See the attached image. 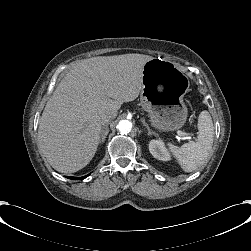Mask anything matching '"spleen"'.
I'll return each mask as SVG.
<instances>
[{"label": "spleen", "instance_id": "1", "mask_svg": "<svg viewBox=\"0 0 251 251\" xmlns=\"http://www.w3.org/2000/svg\"><path fill=\"white\" fill-rule=\"evenodd\" d=\"M197 128L196 140L188 141L181 148H173L186 172L198 169L209 157L213 145L214 126L208 111L200 113Z\"/></svg>", "mask_w": 251, "mask_h": 251}]
</instances>
